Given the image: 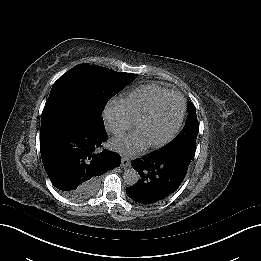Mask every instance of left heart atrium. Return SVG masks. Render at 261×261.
Listing matches in <instances>:
<instances>
[{
	"instance_id": "39dd6f15",
	"label": "left heart atrium",
	"mask_w": 261,
	"mask_h": 261,
	"mask_svg": "<svg viewBox=\"0 0 261 261\" xmlns=\"http://www.w3.org/2000/svg\"><path fill=\"white\" fill-rule=\"evenodd\" d=\"M112 147L126 156H132L140 150L141 143L135 136L126 135L114 139L112 141Z\"/></svg>"
}]
</instances>
